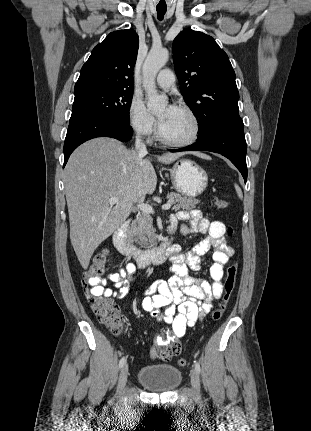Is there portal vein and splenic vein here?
Wrapping results in <instances>:
<instances>
[{"label":"portal vein and splenic vein","mask_w":311,"mask_h":431,"mask_svg":"<svg viewBox=\"0 0 311 431\" xmlns=\"http://www.w3.org/2000/svg\"><path fill=\"white\" fill-rule=\"evenodd\" d=\"M119 202V198H110L109 204L113 206V204H117ZM137 208L143 212V214H154V210L152 206H149V204H137ZM162 210H170L172 208V202L170 204H164V206H161Z\"/></svg>","instance_id":"obj_1"}]
</instances>
